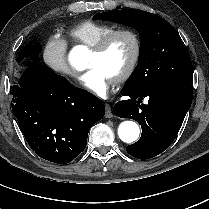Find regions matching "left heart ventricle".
Segmentation results:
<instances>
[{"label":"left heart ventricle","mask_w":209,"mask_h":209,"mask_svg":"<svg viewBox=\"0 0 209 209\" xmlns=\"http://www.w3.org/2000/svg\"><path fill=\"white\" fill-rule=\"evenodd\" d=\"M133 54V42L127 36H118L103 55H89L88 67H98L116 79L125 69Z\"/></svg>","instance_id":"left-heart-ventricle-1"}]
</instances>
